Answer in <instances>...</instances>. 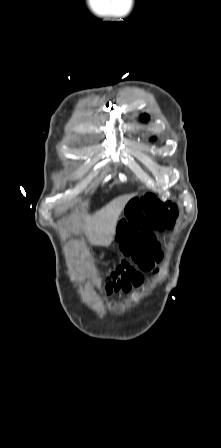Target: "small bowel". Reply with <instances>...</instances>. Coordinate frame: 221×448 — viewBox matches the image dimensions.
I'll list each match as a JSON object with an SVG mask.
<instances>
[{
	"label": "small bowel",
	"instance_id": "c3829d8e",
	"mask_svg": "<svg viewBox=\"0 0 221 448\" xmlns=\"http://www.w3.org/2000/svg\"><path fill=\"white\" fill-rule=\"evenodd\" d=\"M139 215H140V217L147 219V216L143 210H140ZM124 219H127V217ZM130 226L132 229H135L137 227L136 224H134L133 222H130ZM154 233L155 232H153V234ZM118 241L120 243L122 252L127 256H132L133 251L130 249V245H132L136 242V236L134 234H132L127 240L118 238Z\"/></svg>",
	"mask_w": 221,
	"mask_h": 448
}]
</instances>
